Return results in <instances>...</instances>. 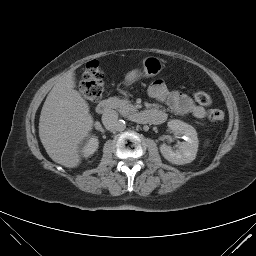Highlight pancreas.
I'll return each mask as SVG.
<instances>
[{
	"label": "pancreas",
	"mask_w": 256,
	"mask_h": 256,
	"mask_svg": "<svg viewBox=\"0 0 256 256\" xmlns=\"http://www.w3.org/2000/svg\"><path fill=\"white\" fill-rule=\"evenodd\" d=\"M110 101L112 102V107L117 109L123 115H128L129 112L136 110L135 106H133L128 100L113 97Z\"/></svg>",
	"instance_id": "1"
}]
</instances>
